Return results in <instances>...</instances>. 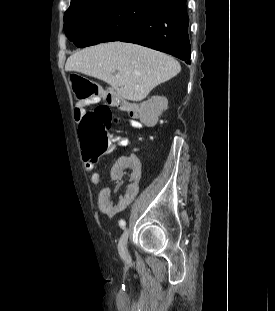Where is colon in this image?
Instances as JSON below:
<instances>
[{"instance_id": "colon-1", "label": "colon", "mask_w": 275, "mask_h": 311, "mask_svg": "<svg viewBox=\"0 0 275 311\" xmlns=\"http://www.w3.org/2000/svg\"><path fill=\"white\" fill-rule=\"evenodd\" d=\"M69 81L76 102L100 104V96H103L108 101L112 99L119 103H128L113 91H103L92 80L79 74H71ZM128 105L134 111V106L130 103ZM140 116L144 123L152 124L154 122L151 116L144 113ZM124 121V118L116 114L108 104H101L94 110L85 112L80 120L79 128L80 140L85 149V154L88 157L97 158L108 153L112 149L109 131L112 126L121 125Z\"/></svg>"}]
</instances>
